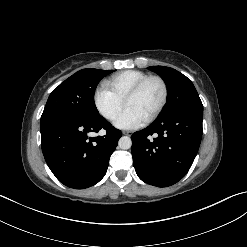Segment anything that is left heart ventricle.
<instances>
[{
  "mask_svg": "<svg viewBox=\"0 0 247 247\" xmlns=\"http://www.w3.org/2000/svg\"><path fill=\"white\" fill-rule=\"evenodd\" d=\"M162 99V87L158 81H150L134 97L129 99L126 106L136 108L146 117H148L158 106Z\"/></svg>",
  "mask_w": 247,
  "mask_h": 247,
  "instance_id": "b2bd125f",
  "label": "left heart ventricle"
}]
</instances>
